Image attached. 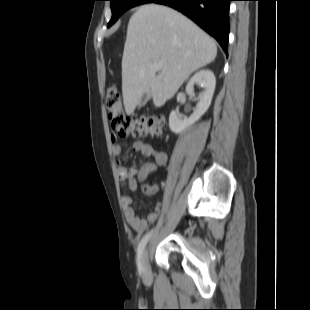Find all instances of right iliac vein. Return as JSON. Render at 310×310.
I'll return each mask as SVG.
<instances>
[{"mask_svg": "<svg viewBox=\"0 0 310 310\" xmlns=\"http://www.w3.org/2000/svg\"><path fill=\"white\" fill-rule=\"evenodd\" d=\"M141 274H142L145 278H150V277H151V269H150L149 262H148V253H147V250H144V252H143Z\"/></svg>", "mask_w": 310, "mask_h": 310, "instance_id": "1", "label": "right iliac vein"}]
</instances>
